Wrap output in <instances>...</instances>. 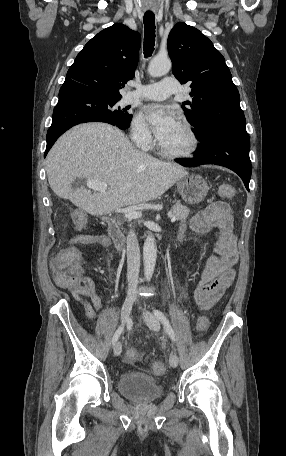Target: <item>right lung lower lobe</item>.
<instances>
[{"label":"right lung lower lobe","instance_id":"obj_1","mask_svg":"<svg viewBox=\"0 0 286 456\" xmlns=\"http://www.w3.org/2000/svg\"><path fill=\"white\" fill-rule=\"evenodd\" d=\"M101 98L96 94L75 86H63L59 91V101L53 111L51 127L47 132L45 155L54 142L69 128L85 122L98 121L95 112Z\"/></svg>","mask_w":286,"mask_h":456}]
</instances>
